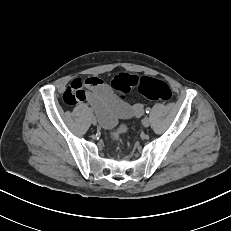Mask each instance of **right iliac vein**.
Segmentation results:
<instances>
[{"label":"right iliac vein","mask_w":231,"mask_h":231,"mask_svg":"<svg viewBox=\"0 0 231 231\" xmlns=\"http://www.w3.org/2000/svg\"><path fill=\"white\" fill-rule=\"evenodd\" d=\"M90 120L93 125L97 124V119L95 118V116L92 115Z\"/></svg>","instance_id":"63e3f726"}]
</instances>
